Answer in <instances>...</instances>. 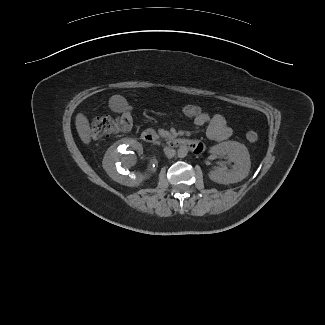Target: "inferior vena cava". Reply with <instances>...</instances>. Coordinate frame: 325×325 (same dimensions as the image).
Here are the masks:
<instances>
[{"label":"inferior vena cava","instance_id":"obj_1","mask_svg":"<svg viewBox=\"0 0 325 325\" xmlns=\"http://www.w3.org/2000/svg\"><path fill=\"white\" fill-rule=\"evenodd\" d=\"M164 153L168 158H172L175 156L176 151L173 148L165 147Z\"/></svg>","mask_w":325,"mask_h":325}]
</instances>
